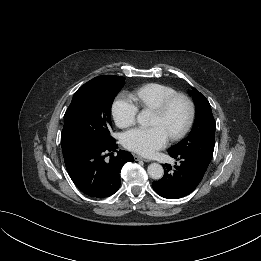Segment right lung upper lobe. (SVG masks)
<instances>
[{
	"instance_id": "right-lung-upper-lobe-1",
	"label": "right lung upper lobe",
	"mask_w": 261,
	"mask_h": 261,
	"mask_svg": "<svg viewBox=\"0 0 261 261\" xmlns=\"http://www.w3.org/2000/svg\"><path fill=\"white\" fill-rule=\"evenodd\" d=\"M103 76H109V75H103ZM103 76H98V77H103Z\"/></svg>"
}]
</instances>
